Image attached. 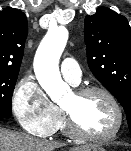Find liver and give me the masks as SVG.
I'll use <instances>...</instances> for the list:
<instances>
[{
    "mask_svg": "<svg viewBox=\"0 0 131 151\" xmlns=\"http://www.w3.org/2000/svg\"><path fill=\"white\" fill-rule=\"evenodd\" d=\"M64 144L36 139L27 134L0 128V151H54ZM85 148H73L71 151H82Z\"/></svg>",
    "mask_w": 131,
    "mask_h": 151,
    "instance_id": "obj_1",
    "label": "liver"
}]
</instances>
